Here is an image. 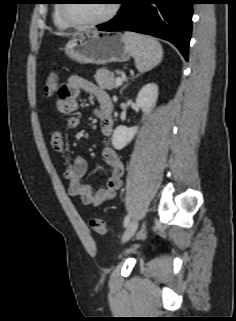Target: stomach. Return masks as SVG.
<instances>
[{
    "label": "stomach",
    "mask_w": 236,
    "mask_h": 321,
    "mask_svg": "<svg viewBox=\"0 0 236 321\" xmlns=\"http://www.w3.org/2000/svg\"><path fill=\"white\" fill-rule=\"evenodd\" d=\"M65 54L78 63L104 65L129 60L131 51L121 33L87 31L68 41Z\"/></svg>",
    "instance_id": "1"
}]
</instances>
